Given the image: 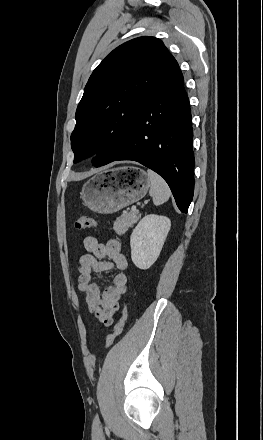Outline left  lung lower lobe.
<instances>
[{
  "label": "left lung lower lobe",
  "mask_w": 263,
  "mask_h": 440,
  "mask_svg": "<svg viewBox=\"0 0 263 440\" xmlns=\"http://www.w3.org/2000/svg\"><path fill=\"white\" fill-rule=\"evenodd\" d=\"M192 140L189 99L174 59L137 115L129 144L110 162L132 160L152 169L167 182L180 211L187 213L194 192Z\"/></svg>",
  "instance_id": "obj_1"
}]
</instances>
